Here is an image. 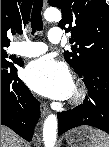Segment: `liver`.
Returning a JSON list of instances; mask_svg holds the SVG:
<instances>
[{
  "label": "liver",
  "mask_w": 109,
  "mask_h": 147,
  "mask_svg": "<svg viewBox=\"0 0 109 147\" xmlns=\"http://www.w3.org/2000/svg\"><path fill=\"white\" fill-rule=\"evenodd\" d=\"M1 147H23L22 139L8 127H1Z\"/></svg>",
  "instance_id": "liver-1"
}]
</instances>
